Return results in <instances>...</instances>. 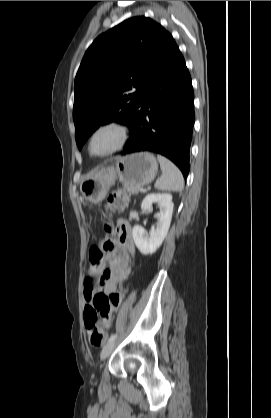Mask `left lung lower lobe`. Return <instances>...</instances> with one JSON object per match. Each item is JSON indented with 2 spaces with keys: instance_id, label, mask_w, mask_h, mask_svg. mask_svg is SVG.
Listing matches in <instances>:
<instances>
[{
  "instance_id": "left-lung-lower-lobe-1",
  "label": "left lung lower lobe",
  "mask_w": 271,
  "mask_h": 418,
  "mask_svg": "<svg viewBox=\"0 0 271 418\" xmlns=\"http://www.w3.org/2000/svg\"><path fill=\"white\" fill-rule=\"evenodd\" d=\"M194 122L191 76L173 40L127 124L132 137L122 154L159 153L172 160L186 178Z\"/></svg>"
}]
</instances>
